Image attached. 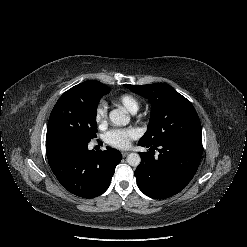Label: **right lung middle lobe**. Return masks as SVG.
I'll use <instances>...</instances> for the list:
<instances>
[{
    "instance_id": "1",
    "label": "right lung middle lobe",
    "mask_w": 247,
    "mask_h": 247,
    "mask_svg": "<svg viewBox=\"0 0 247 247\" xmlns=\"http://www.w3.org/2000/svg\"><path fill=\"white\" fill-rule=\"evenodd\" d=\"M110 88L91 91L69 89L54 106L47 126L46 143L56 140H75L89 143L96 137V110L100 98Z\"/></svg>"
}]
</instances>
